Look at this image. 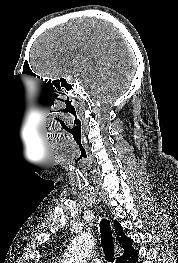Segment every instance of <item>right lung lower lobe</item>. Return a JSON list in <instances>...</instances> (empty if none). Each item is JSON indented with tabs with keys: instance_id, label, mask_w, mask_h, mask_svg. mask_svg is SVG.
I'll use <instances>...</instances> for the list:
<instances>
[{
	"instance_id": "1",
	"label": "right lung lower lobe",
	"mask_w": 178,
	"mask_h": 263,
	"mask_svg": "<svg viewBox=\"0 0 178 263\" xmlns=\"http://www.w3.org/2000/svg\"><path fill=\"white\" fill-rule=\"evenodd\" d=\"M138 253L134 251L132 254H130L128 257L124 258L121 263H136Z\"/></svg>"
}]
</instances>
